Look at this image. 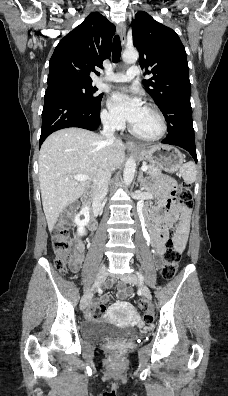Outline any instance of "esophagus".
<instances>
[{"instance_id": "obj_1", "label": "esophagus", "mask_w": 228, "mask_h": 396, "mask_svg": "<svg viewBox=\"0 0 228 396\" xmlns=\"http://www.w3.org/2000/svg\"><path fill=\"white\" fill-rule=\"evenodd\" d=\"M117 32H118V34L120 36V40H121L122 45H125V43H126V27H125L124 23H119L117 25ZM126 145L128 147H130V148H135L136 147V144L131 142V141L126 142Z\"/></svg>"}]
</instances>
